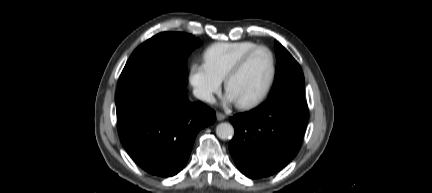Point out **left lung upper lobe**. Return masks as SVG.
Listing matches in <instances>:
<instances>
[{
  "instance_id": "left-lung-upper-lobe-1",
  "label": "left lung upper lobe",
  "mask_w": 432,
  "mask_h": 193,
  "mask_svg": "<svg viewBox=\"0 0 432 193\" xmlns=\"http://www.w3.org/2000/svg\"><path fill=\"white\" fill-rule=\"evenodd\" d=\"M275 49L277 70L269 99L277 97L305 99L304 75L300 65L281 44L277 43Z\"/></svg>"
}]
</instances>
